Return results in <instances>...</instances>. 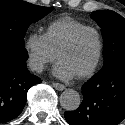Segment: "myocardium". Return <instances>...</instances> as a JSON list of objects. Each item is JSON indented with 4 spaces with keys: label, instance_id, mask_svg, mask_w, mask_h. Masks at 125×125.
Segmentation results:
<instances>
[{
    "label": "myocardium",
    "instance_id": "obj_1",
    "mask_svg": "<svg viewBox=\"0 0 125 125\" xmlns=\"http://www.w3.org/2000/svg\"><path fill=\"white\" fill-rule=\"evenodd\" d=\"M87 31H92L96 34L97 40H98V51H97V55L95 57L94 62L92 63V65L83 73L75 76L77 79H85L90 77L91 75H93V73L96 71L101 57H102V53H103V39L101 36L100 31L93 27V26H86L83 27L77 31H75L65 42L64 44L59 48V50L56 53V57L60 60V56L63 52H65L66 50L70 49L73 44L76 42V40L79 38V36Z\"/></svg>",
    "mask_w": 125,
    "mask_h": 125
}]
</instances>
